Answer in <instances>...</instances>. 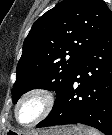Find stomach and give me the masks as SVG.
Segmentation results:
<instances>
[{
    "label": "stomach",
    "mask_w": 112,
    "mask_h": 135,
    "mask_svg": "<svg viewBox=\"0 0 112 135\" xmlns=\"http://www.w3.org/2000/svg\"><path fill=\"white\" fill-rule=\"evenodd\" d=\"M7 134L11 135H21V133H17L14 131H8ZM23 135H84L82 132V128L79 126L67 125L56 127L43 132H30Z\"/></svg>",
    "instance_id": "1"
}]
</instances>
